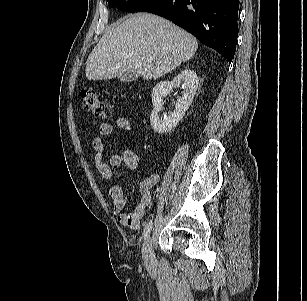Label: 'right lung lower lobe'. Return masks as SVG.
<instances>
[{"label":"right lung lower lobe","mask_w":307,"mask_h":301,"mask_svg":"<svg viewBox=\"0 0 307 301\" xmlns=\"http://www.w3.org/2000/svg\"><path fill=\"white\" fill-rule=\"evenodd\" d=\"M239 0H155L141 12L171 20L229 62L236 50Z\"/></svg>","instance_id":"98d812e1"}]
</instances>
